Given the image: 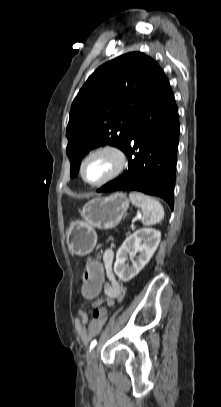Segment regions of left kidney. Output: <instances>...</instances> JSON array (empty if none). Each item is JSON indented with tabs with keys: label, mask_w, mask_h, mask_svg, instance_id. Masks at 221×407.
I'll return each mask as SVG.
<instances>
[{
	"label": "left kidney",
	"mask_w": 221,
	"mask_h": 407,
	"mask_svg": "<svg viewBox=\"0 0 221 407\" xmlns=\"http://www.w3.org/2000/svg\"><path fill=\"white\" fill-rule=\"evenodd\" d=\"M160 239L161 232L153 228H142L128 236L116 254L114 272L117 277L123 282L134 278L150 261ZM137 252L140 253L137 259L132 260L131 266L126 265L128 255L132 258Z\"/></svg>",
	"instance_id": "5707ae66"
}]
</instances>
